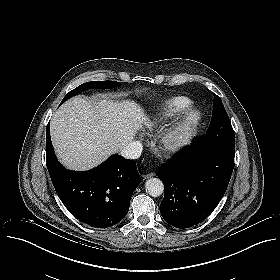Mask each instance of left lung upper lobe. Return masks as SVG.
Instances as JSON below:
<instances>
[{
  "label": "left lung upper lobe",
  "mask_w": 280,
  "mask_h": 280,
  "mask_svg": "<svg viewBox=\"0 0 280 280\" xmlns=\"http://www.w3.org/2000/svg\"><path fill=\"white\" fill-rule=\"evenodd\" d=\"M214 96L212 118L207 133L202 138L195 139L192 145L235 151V134L231 122L220 97L216 94Z\"/></svg>",
  "instance_id": "left-lung-upper-lobe-1"
}]
</instances>
